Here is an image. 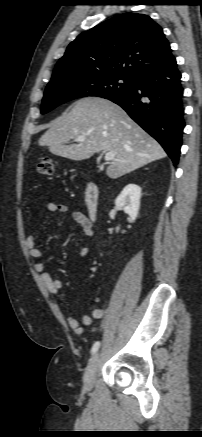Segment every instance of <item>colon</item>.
Returning a JSON list of instances; mask_svg holds the SVG:
<instances>
[{
    "label": "colon",
    "mask_w": 202,
    "mask_h": 437,
    "mask_svg": "<svg viewBox=\"0 0 202 437\" xmlns=\"http://www.w3.org/2000/svg\"><path fill=\"white\" fill-rule=\"evenodd\" d=\"M37 171L41 175L51 176L54 173V160L51 157L42 158L37 164Z\"/></svg>",
    "instance_id": "5ec220e1"
}]
</instances>
